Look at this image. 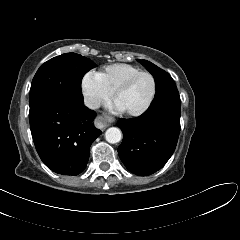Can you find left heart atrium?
I'll return each instance as SVG.
<instances>
[{
	"label": "left heart atrium",
	"mask_w": 240,
	"mask_h": 240,
	"mask_svg": "<svg viewBox=\"0 0 240 240\" xmlns=\"http://www.w3.org/2000/svg\"><path fill=\"white\" fill-rule=\"evenodd\" d=\"M112 108L117 111L126 110L124 105L118 99L113 103Z\"/></svg>",
	"instance_id": "39dd6f15"
}]
</instances>
